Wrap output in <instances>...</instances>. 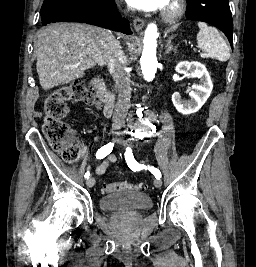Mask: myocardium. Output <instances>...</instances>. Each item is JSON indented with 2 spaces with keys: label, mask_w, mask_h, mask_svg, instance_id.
Masks as SVG:
<instances>
[{
  "label": "myocardium",
  "mask_w": 256,
  "mask_h": 267,
  "mask_svg": "<svg viewBox=\"0 0 256 267\" xmlns=\"http://www.w3.org/2000/svg\"><path fill=\"white\" fill-rule=\"evenodd\" d=\"M169 9H170V14L168 18L163 17V21L165 23H173L175 19L179 17L183 12L182 7L174 3L170 5Z\"/></svg>",
  "instance_id": "f54148a6"
}]
</instances>
